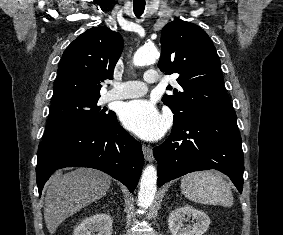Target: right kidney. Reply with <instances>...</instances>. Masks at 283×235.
Returning <instances> with one entry per match:
<instances>
[{
    "mask_svg": "<svg viewBox=\"0 0 283 235\" xmlns=\"http://www.w3.org/2000/svg\"><path fill=\"white\" fill-rule=\"evenodd\" d=\"M95 232L97 234H95ZM112 219L108 214L99 213L86 217L75 229L73 235H111Z\"/></svg>",
    "mask_w": 283,
    "mask_h": 235,
    "instance_id": "obj_1",
    "label": "right kidney"
}]
</instances>
